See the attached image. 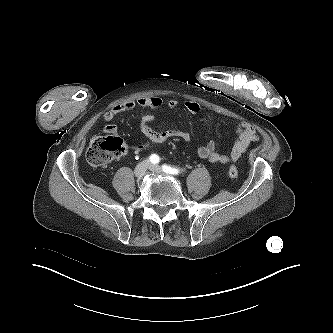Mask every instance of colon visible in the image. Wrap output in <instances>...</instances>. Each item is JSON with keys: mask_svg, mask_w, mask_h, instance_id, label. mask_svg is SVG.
<instances>
[{"mask_svg": "<svg viewBox=\"0 0 333 333\" xmlns=\"http://www.w3.org/2000/svg\"><path fill=\"white\" fill-rule=\"evenodd\" d=\"M123 141L117 136H97L93 138L86 151V159L93 166H104L125 153ZM227 177L236 179L238 170L231 165Z\"/></svg>", "mask_w": 333, "mask_h": 333, "instance_id": "obj_1", "label": "colon"}]
</instances>
